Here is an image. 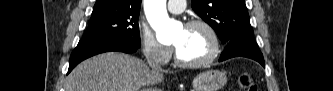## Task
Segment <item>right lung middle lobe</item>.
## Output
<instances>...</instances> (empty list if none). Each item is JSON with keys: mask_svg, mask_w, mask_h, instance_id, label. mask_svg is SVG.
I'll use <instances>...</instances> for the list:
<instances>
[{"mask_svg": "<svg viewBox=\"0 0 333 91\" xmlns=\"http://www.w3.org/2000/svg\"><path fill=\"white\" fill-rule=\"evenodd\" d=\"M140 11H129L101 17H93L82 40H119L140 47Z\"/></svg>", "mask_w": 333, "mask_h": 91, "instance_id": "1", "label": "right lung middle lobe"}]
</instances>
